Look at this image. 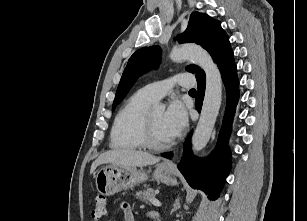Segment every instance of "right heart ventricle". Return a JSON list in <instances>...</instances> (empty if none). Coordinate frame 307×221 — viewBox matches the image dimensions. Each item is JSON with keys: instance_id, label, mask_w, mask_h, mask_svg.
I'll return each mask as SVG.
<instances>
[{"instance_id": "right-heart-ventricle-1", "label": "right heart ventricle", "mask_w": 307, "mask_h": 221, "mask_svg": "<svg viewBox=\"0 0 307 221\" xmlns=\"http://www.w3.org/2000/svg\"><path fill=\"white\" fill-rule=\"evenodd\" d=\"M153 100L141 90L134 93L120 108L115 116L111 133L110 146L114 150H137L143 148L141 130L143 119Z\"/></svg>"}]
</instances>
